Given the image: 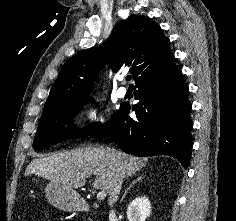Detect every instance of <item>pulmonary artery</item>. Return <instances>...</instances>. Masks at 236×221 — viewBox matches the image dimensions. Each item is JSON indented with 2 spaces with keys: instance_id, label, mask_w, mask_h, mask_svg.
<instances>
[{
  "instance_id": "obj_1",
  "label": "pulmonary artery",
  "mask_w": 236,
  "mask_h": 221,
  "mask_svg": "<svg viewBox=\"0 0 236 221\" xmlns=\"http://www.w3.org/2000/svg\"><path fill=\"white\" fill-rule=\"evenodd\" d=\"M117 93H118L119 97L123 98L127 95V88L121 86V87L118 88Z\"/></svg>"
}]
</instances>
